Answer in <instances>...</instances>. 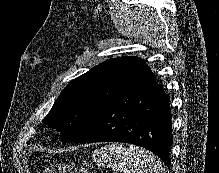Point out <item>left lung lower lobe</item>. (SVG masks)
I'll return each instance as SVG.
<instances>
[{"mask_svg": "<svg viewBox=\"0 0 219 173\" xmlns=\"http://www.w3.org/2000/svg\"><path fill=\"white\" fill-rule=\"evenodd\" d=\"M170 97L145 64L137 79L109 102L74 143L125 142L144 147L170 168Z\"/></svg>", "mask_w": 219, "mask_h": 173, "instance_id": "0a47b994", "label": "left lung lower lobe"}]
</instances>
